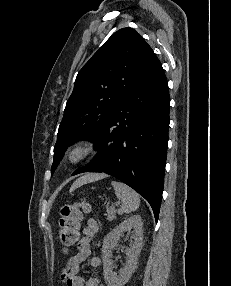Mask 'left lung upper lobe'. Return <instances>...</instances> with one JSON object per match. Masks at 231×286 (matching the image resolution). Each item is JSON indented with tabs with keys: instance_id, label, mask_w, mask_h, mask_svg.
I'll use <instances>...</instances> for the list:
<instances>
[{
	"instance_id": "obj_1",
	"label": "left lung upper lobe",
	"mask_w": 231,
	"mask_h": 286,
	"mask_svg": "<svg viewBox=\"0 0 231 286\" xmlns=\"http://www.w3.org/2000/svg\"><path fill=\"white\" fill-rule=\"evenodd\" d=\"M132 28L117 31L79 71L59 126L51 172L68 146L92 140L122 97L159 63Z\"/></svg>"
}]
</instances>
